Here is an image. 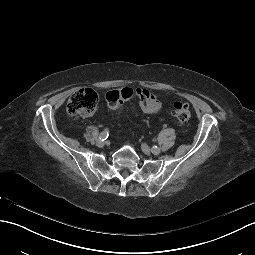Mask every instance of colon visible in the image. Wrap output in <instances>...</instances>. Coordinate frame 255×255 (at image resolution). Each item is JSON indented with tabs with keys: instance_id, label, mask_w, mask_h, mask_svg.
Masks as SVG:
<instances>
[{
	"instance_id": "5ec220e1",
	"label": "colon",
	"mask_w": 255,
	"mask_h": 255,
	"mask_svg": "<svg viewBox=\"0 0 255 255\" xmlns=\"http://www.w3.org/2000/svg\"><path fill=\"white\" fill-rule=\"evenodd\" d=\"M139 92L131 88L113 90L106 94V100L111 108H116L123 100L138 96ZM98 104L97 93L89 88L77 90L67 102V112L70 115L88 116ZM188 105L182 102L173 104L172 116L179 125H185L190 119Z\"/></svg>"
}]
</instances>
